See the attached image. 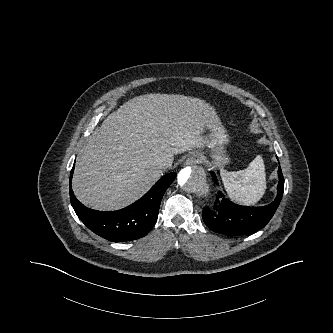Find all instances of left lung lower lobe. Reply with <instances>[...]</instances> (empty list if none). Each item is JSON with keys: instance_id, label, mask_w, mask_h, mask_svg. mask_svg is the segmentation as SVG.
I'll use <instances>...</instances> for the list:
<instances>
[{"instance_id": "0a47b994", "label": "left lung lower lobe", "mask_w": 333, "mask_h": 333, "mask_svg": "<svg viewBox=\"0 0 333 333\" xmlns=\"http://www.w3.org/2000/svg\"><path fill=\"white\" fill-rule=\"evenodd\" d=\"M278 176L277 197L266 206H239L224 199L223 194L218 192L212 208L205 207L202 212L205 224L213 231L225 235H246L265 227L274 215L283 195L284 178L280 166ZM212 177L217 183L213 172Z\"/></svg>"}]
</instances>
